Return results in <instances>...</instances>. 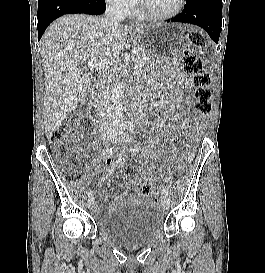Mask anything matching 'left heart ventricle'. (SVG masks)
Returning <instances> with one entry per match:
<instances>
[{
    "mask_svg": "<svg viewBox=\"0 0 265 273\" xmlns=\"http://www.w3.org/2000/svg\"><path fill=\"white\" fill-rule=\"evenodd\" d=\"M179 0H144L145 8L155 14H166L176 9Z\"/></svg>",
    "mask_w": 265,
    "mask_h": 273,
    "instance_id": "1",
    "label": "left heart ventricle"
}]
</instances>
